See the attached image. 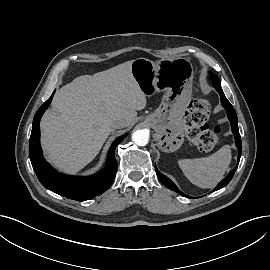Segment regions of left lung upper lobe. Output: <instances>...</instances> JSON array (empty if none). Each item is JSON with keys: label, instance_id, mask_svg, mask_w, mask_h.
<instances>
[{"label": "left lung upper lobe", "instance_id": "obj_1", "mask_svg": "<svg viewBox=\"0 0 270 270\" xmlns=\"http://www.w3.org/2000/svg\"><path fill=\"white\" fill-rule=\"evenodd\" d=\"M210 74V78H211V80H212V82H213V85H214V87L216 88V90L218 91V92H223L222 91V88H221V83H220V81H219V78L215 75V74H213V73H209Z\"/></svg>", "mask_w": 270, "mask_h": 270}]
</instances>
